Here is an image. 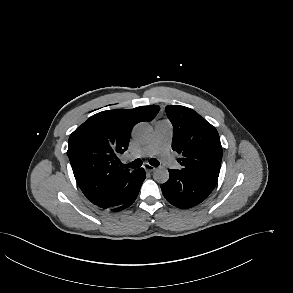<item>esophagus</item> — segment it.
<instances>
[{
  "label": "esophagus",
  "instance_id": "34e87169",
  "mask_svg": "<svg viewBox=\"0 0 293 293\" xmlns=\"http://www.w3.org/2000/svg\"><path fill=\"white\" fill-rule=\"evenodd\" d=\"M144 169H145L147 172H153V171L156 170V167L151 166L150 164H145V165H144Z\"/></svg>",
  "mask_w": 293,
  "mask_h": 293
}]
</instances>
